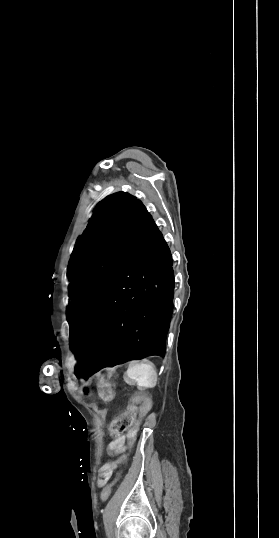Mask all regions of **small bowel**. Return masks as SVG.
<instances>
[{
  "label": "small bowel",
  "mask_w": 279,
  "mask_h": 538,
  "mask_svg": "<svg viewBox=\"0 0 279 538\" xmlns=\"http://www.w3.org/2000/svg\"><path fill=\"white\" fill-rule=\"evenodd\" d=\"M124 443H125V437L123 436V437L118 438L113 444L116 446L117 449H119L120 451H123ZM105 483L106 482L99 481L100 486L104 485Z\"/></svg>",
  "instance_id": "obj_1"
}]
</instances>
